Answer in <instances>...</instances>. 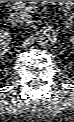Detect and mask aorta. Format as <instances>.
I'll return each mask as SVG.
<instances>
[{"label": "aorta", "mask_w": 74, "mask_h": 122, "mask_svg": "<svg viewBox=\"0 0 74 122\" xmlns=\"http://www.w3.org/2000/svg\"><path fill=\"white\" fill-rule=\"evenodd\" d=\"M57 42V35L54 30L43 28L37 33V43L43 48H51Z\"/></svg>", "instance_id": "762f6f07"}]
</instances>
